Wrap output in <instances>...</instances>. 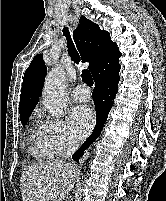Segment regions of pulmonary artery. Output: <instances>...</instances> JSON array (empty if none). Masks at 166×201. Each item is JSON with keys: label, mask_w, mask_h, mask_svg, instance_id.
<instances>
[{"label": "pulmonary artery", "mask_w": 166, "mask_h": 201, "mask_svg": "<svg viewBox=\"0 0 166 201\" xmlns=\"http://www.w3.org/2000/svg\"><path fill=\"white\" fill-rule=\"evenodd\" d=\"M72 97L77 102H85L91 98V93L86 86L79 85L73 90Z\"/></svg>", "instance_id": "obj_1"}]
</instances>
